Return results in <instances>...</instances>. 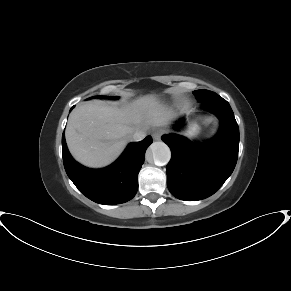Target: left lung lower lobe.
Instances as JSON below:
<instances>
[{"label": "left lung lower lobe", "mask_w": 291, "mask_h": 291, "mask_svg": "<svg viewBox=\"0 0 291 291\" xmlns=\"http://www.w3.org/2000/svg\"><path fill=\"white\" fill-rule=\"evenodd\" d=\"M203 107L221 120L218 134L204 144H194L175 133L162 136L172 157L167 165V186L178 199L196 201L214 194L233 172L239 148V128L229 103L213 93ZM183 120L173 129L179 131Z\"/></svg>", "instance_id": "left-lung-lower-lobe-1"}]
</instances>
